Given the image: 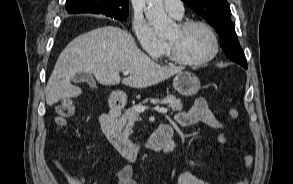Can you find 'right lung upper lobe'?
Segmentation results:
<instances>
[{"mask_svg": "<svg viewBox=\"0 0 293 184\" xmlns=\"http://www.w3.org/2000/svg\"><path fill=\"white\" fill-rule=\"evenodd\" d=\"M70 14L93 13L110 16L111 13H128V0H66Z\"/></svg>", "mask_w": 293, "mask_h": 184, "instance_id": "obj_1", "label": "right lung upper lobe"}]
</instances>
